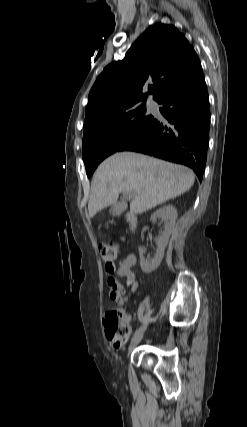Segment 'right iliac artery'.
<instances>
[{
  "label": "right iliac artery",
  "mask_w": 247,
  "mask_h": 427,
  "mask_svg": "<svg viewBox=\"0 0 247 427\" xmlns=\"http://www.w3.org/2000/svg\"><path fill=\"white\" fill-rule=\"evenodd\" d=\"M144 329H145V324H143L141 327H139V328L136 330V332H135L134 336H136L137 334H139L140 332H142Z\"/></svg>",
  "instance_id": "right-iliac-artery-1"
}]
</instances>
